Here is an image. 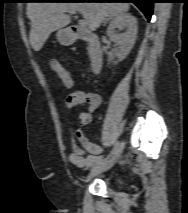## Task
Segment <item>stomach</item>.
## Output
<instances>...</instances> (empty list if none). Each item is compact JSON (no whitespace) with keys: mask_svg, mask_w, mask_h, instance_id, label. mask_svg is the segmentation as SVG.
Returning <instances> with one entry per match:
<instances>
[{"mask_svg":"<svg viewBox=\"0 0 188 213\" xmlns=\"http://www.w3.org/2000/svg\"><path fill=\"white\" fill-rule=\"evenodd\" d=\"M61 45L68 46L74 42V36L68 29H61L56 34Z\"/></svg>","mask_w":188,"mask_h":213,"instance_id":"0dacf381","label":"stomach"}]
</instances>
